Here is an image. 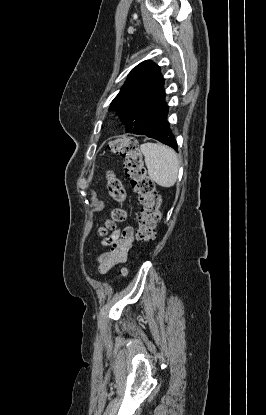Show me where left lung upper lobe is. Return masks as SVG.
I'll return each mask as SVG.
<instances>
[{
	"mask_svg": "<svg viewBox=\"0 0 266 415\" xmlns=\"http://www.w3.org/2000/svg\"><path fill=\"white\" fill-rule=\"evenodd\" d=\"M109 110L118 112L128 133L143 134L161 126L167 119L168 106L160 67L149 60L137 65Z\"/></svg>",
	"mask_w": 266,
	"mask_h": 415,
	"instance_id": "obj_1",
	"label": "left lung upper lobe"
}]
</instances>
